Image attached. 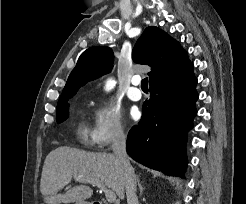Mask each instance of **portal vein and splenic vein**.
<instances>
[{
	"label": "portal vein and splenic vein",
	"instance_id": "portal-vein-and-splenic-vein-1",
	"mask_svg": "<svg viewBox=\"0 0 246 204\" xmlns=\"http://www.w3.org/2000/svg\"><path fill=\"white\" fill-rule=\"evenodd\" d=\"M76 178V177H75ZM80 182L82 183H89L92 185L97 186L98 188H100L106 196V199L109 202H115L116 201V194L114 193V191L108 189L105 184L103 183V181L99 180V179H91V178H81Z\"/></svg>",
	"mask_w": 246,
	"mask_h": 204
}]
</instances>
